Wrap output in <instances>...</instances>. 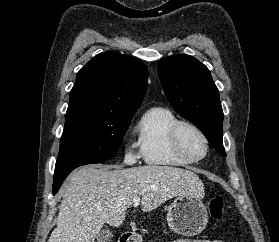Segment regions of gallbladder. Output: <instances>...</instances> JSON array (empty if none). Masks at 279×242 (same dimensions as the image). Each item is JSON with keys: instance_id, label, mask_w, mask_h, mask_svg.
<instances>
[{"instance_id": "bac80fb5", "label": "gallbladder", "mask_w": 279, "mask_h": 242, "mask_svg": "<svg viewBox=\"0 0 279 242\" xmlns=\"http://www.w3.org/2000/svg\"><path fill=\"white\" fill-rule=\"evenodd\" d=\"M112 237H113L112 233L109 230L104 229V230L100 231L99 234L97 235V241L98 242H110Z\"/></svg>"}]
</instances>
